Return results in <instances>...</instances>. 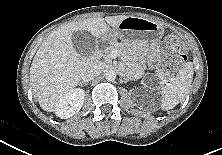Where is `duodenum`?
Masks as SVG:
<instances>
[{
    "mask_svg": "<svg viewBox=\"0 0 222 155\" xmlns=\"http://www.w3.org/2000/svg\"><path fill=\"white\" fill-rule=\"evenodd\" d=\"M94 60H95V58H94V57H92V58H91V61H94Z\"/></svg>",
    "mask_w": 222,
    "mask_h": 155,
    "instance_id": "obj_1",
    "label": "duodenum"
}]
</instances>
